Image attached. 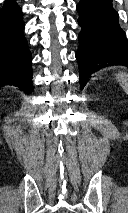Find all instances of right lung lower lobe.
I'll list each match as a JSON object with an SVG mask.
<instances>
[{
	"mask_svg": "<svg viewBox=\"0 0 128 213\" xmlns=\"http://www.w3.org/2000/svg\"><path fill=\"white\" fill-rule=\"evenodd\" d=\"M23 28L21 8L6 0L0 10V87L11 84L31 93L32 57Z\"/></svg>",
	"mask_w": 128,
	"mask_h": 213,
	"instance_id": "right-lung-lower-lobe-1",
	"label": "right lung lower lobe"
}]
</instances>
